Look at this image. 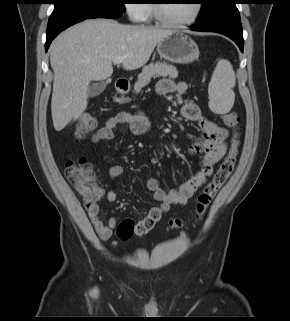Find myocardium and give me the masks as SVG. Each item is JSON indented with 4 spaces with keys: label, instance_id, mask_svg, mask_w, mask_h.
Returning <instances> with one entry per match:
<instances>
[{
    "label": "myocardium",
    "instance_id": "1",
    "mask_svg": "<svg viewBox=\"0 0 290 321\" xmlns=\"http://www.w3.org/2000/svg\"><path fill=\"white\" fill-rule=\"evenodd\" d=\"M165 0H154L152 3V10H153V15L157 22L166 27H184V26H189L193 24L198 17L201 14L202 11V4L200 3L199 0L195 1V11L192 15V17L188 20L184 21H172L168 19L164 13H163V7L162 4L164 3Z\"/></svg>",
    "mask_w": 290,
    "mask_h": 321
}]
</instances>
